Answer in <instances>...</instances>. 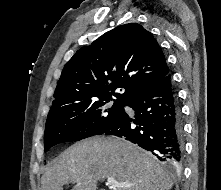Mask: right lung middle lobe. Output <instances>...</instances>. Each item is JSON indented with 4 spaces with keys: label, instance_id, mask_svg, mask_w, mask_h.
Here are the masks:
<instances>
[{
    "label": "right lung middle lobe",
    "instance_id": "1",
    "mask_svg": "<svg viewBox=\"0 0 221 190\" xmlns=\"http://www.w3.org/2000/svg\"><path fill=\"white\" fill-rule=\"evenodd\" d=\"M124 105V99L105 97L50 110L44 135L45 151L58 143L104 134L122 118Z\"/></svg>",
    "mask_w": 221,
    "mask_h": 190
}]
</instances>
